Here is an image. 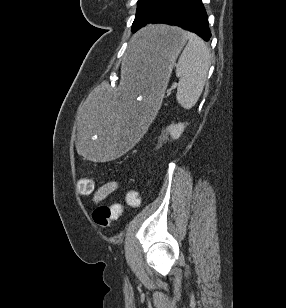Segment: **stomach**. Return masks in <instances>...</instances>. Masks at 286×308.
<instances>
[{
    "mask_svg": "<svg viewBox=\"0 0 286 308\" xmlns=\"http://www.w3.org/2000/svg\"><path fill=\"white\" fill-rule=\"evenodd\" d=\"M185 31L168 25H153L137 34L122 55L120 82L105 86L83 101L75 125V147L89 164H110L133 144H142L140 132L150 125L151 107H159L172 68L185 46Z\"/></svg>",
    "mask_w": 286,
    "mask_h": 308,
    "instance_id": "stomach-1",
    "label": "stomach"
}]
</instances>
